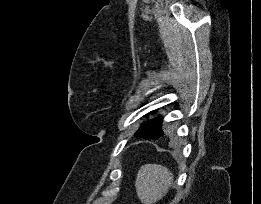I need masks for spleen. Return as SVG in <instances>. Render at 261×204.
<instances>
[{
    "mask_svg": "<svg viewBox=\"0 0 261 204\" xmlns=\"http://www.w3.org/2000/svg\"><path fill=\"white\" fill-rule=\"evenodd\" d=\"M173 174L159 164H145L137 173L135 187L143 204H154L168 192Z\"/></svg>",
    "mask_w": 261,
    "mask_h": 204,
    "instance_id": "1",
    "label": "spleen"
}]
</instances>
